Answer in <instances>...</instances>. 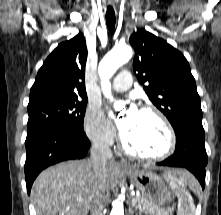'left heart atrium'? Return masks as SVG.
Wrapping results in <instances>:
<instances>
[{"label": "left heart atrium", "mask_w": 221, "mask_h": 215, "mask_svg": "<svg viewBox=\"0 0 221 215\" xmlns=\"http://www.w3.org/2000/svg\"><path fill=\"white\" fill-rule=\"evenodd\" d=\"M137 114H138V110L136 106L132 104L127 114L123 118L117 120V125L121 134L125 133L130 128Z\"/></svg>", "instance_id": "39dd6f15"}]
</instances>
